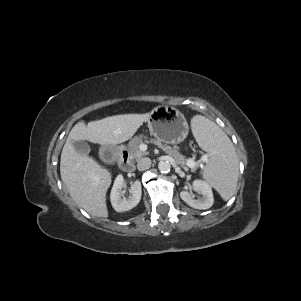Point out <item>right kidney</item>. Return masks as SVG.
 Returning <instances> with one entry per match:
<instances>
[{"instance_id": "1", "label": "right kidney", "mask_w": 301, "mask_h": 301, "mask_svg": "<svg viewBox=\"0 0 301 301\" xmlns=\"http://www.w3.org/2000/svg\"><path fill=\"white\" fill-rule=\"evenodd\" d=\"M123 185L124 178L119 174L114 181L110 195L112 207L117 212L129 211L136 207L141 200V183L139 181H135L132 184L130 188V193L132 195L128 199L123 196Z\"/></svg>"}]
</instances>
